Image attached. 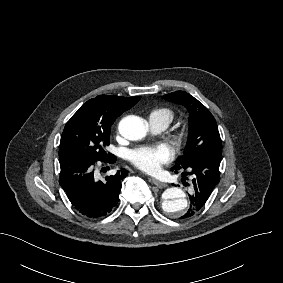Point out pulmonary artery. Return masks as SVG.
Instances as JSON below:
<instances>
[{
    "label": "pulmonary artery",
    "instance_id": "e3ab8cb5",
    "mask_svg": "<svg viewBox=\"0 0 283 283\" xmlns=\"http://www.w3.org/2000/svg\"><path fill=\"white\" fill-rule=\"evenodd\" d=\"M149 125L153 132H160L168 126L167 122L159 120L153 116L149 117Z\"/></svg>",
    "mask_w": 283,
    "mask_h": 283
}]
</instances>
